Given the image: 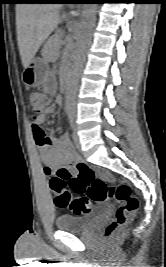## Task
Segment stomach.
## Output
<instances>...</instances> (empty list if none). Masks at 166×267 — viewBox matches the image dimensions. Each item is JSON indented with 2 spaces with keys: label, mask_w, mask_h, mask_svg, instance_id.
Segmentation results:
<instances>
[{
  "label": "stomach",
  "mask_w": 166,
  "mask_h": 267,
  "mask_svg": "<svg viewBox=\"0 0 166 267\" xmlns=\"http://www.w3.org/2000/svg\"><path fill=\"white\" fill-rule=\"evenodd\" d=\"M49 68L45 60L34 58L24 69L22 79L26 86L37 87L44 84L48 78Z\"/></svg>",
  "instance_id": "stomach-1"
}]
</instances>
